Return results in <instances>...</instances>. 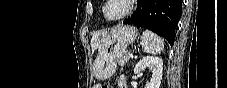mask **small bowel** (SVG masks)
I'll return each instance as SVG.
<instances>
[{
  "instance_id": "obj_1",
  "label": "small bowel",
  "mask_w": 227,
  "mask_h": 88,
  "mask_svg": "<svg viewBox=\"0 0 227 88\" xmlns=\"http://www.w3.org/2000/svg\"><path fill=\"white\" fill-rule=\"evenodd\" d=\"M117 87L119 88H128V83L126 80V77L124 75H121L117 79Z\"/></svg>"
}]
</instances>
